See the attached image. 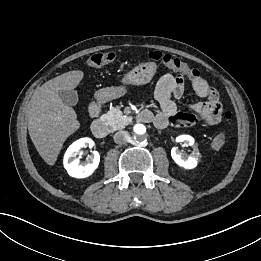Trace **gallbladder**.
I'll list each match as a JSON object with an SVG mask.
<instances>
[{
	"label": "gallbladder",
	"instance_id": "bac80fb5",
	"mask_svg": "<svg viewBox=\"0 0 261 261\" xmlns=\"http://www.w3.org/2000/svg\"><path fill=\"white\" fill-rule=\"evenodd\" d=\"M58 95L65 105L75 106L78 103V94L74 90H61Z\"/></svg>",
	"mask_w": 261,
	"mask_h": 261
}]
</instances>
